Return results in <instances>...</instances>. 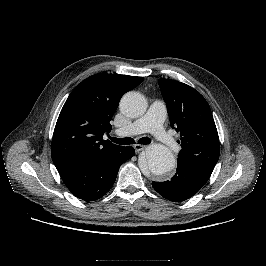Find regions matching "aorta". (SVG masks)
<instances>
[{"label": "aorta", "instance_id": "obj_1", "mask_svg": "<svg viewBox=\"0 0 266 266\" xmlns=\"http://www.w3.org/2000/svg\"><path fill=\"white\" fill-rule=\"evenodd\" d=\"M119 108L127 117H139L146 111V100L140 93L128 92L122 97ZM139 164L142 170H149L153 175L162 176L174 169L176 161L169 148L153 144L140 156Z\"/></svg>", "mask_w": 266, "mask_h": 266}]
</instances>
